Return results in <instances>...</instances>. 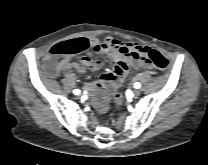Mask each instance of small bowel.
<instances>
[{
	"label": "small bowel",
	"mask_w": 208,
	"mask_h": 165,
	"mask_svg": "<svg viewBox=\"0 0 208 165\" xmlns=\"http://www.w3.org/2000/svg\"><path fill=\"white\" fill-rule=\"evenodd\" d=\"M86 41L93 53L108 55L114 62L112 70L104 73L96 85L87 86L89 92L102 91L95 98V104L100 112H106L108 110V98L123 83L130 68L150 67V64L145 61L142 53L145 46L133 42H123L109 36L103 40L93 38ZM102 66V61L93 60L89 55L80 57L78 62L69 60L61 62L63 70L74 69L81 74H84L87 70L96 71Z\"/></svg>",
	"instance_id": "1"
}]
</instances>
